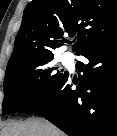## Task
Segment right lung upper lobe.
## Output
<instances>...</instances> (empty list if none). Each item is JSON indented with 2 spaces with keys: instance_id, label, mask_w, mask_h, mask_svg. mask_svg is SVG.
<instances>
[{
  "instance_id": "obj_1",
  "label": "right lung upper lobe",
  "mask_w": 117,
  "mask_h": 136,
  "mask_svg": "<svg viewBox=\"0 0 117 136\" xmlns=\"http://www.w3.org/2000/svg\"><path fill=\"white\" fill-rule=\"evenodd\" d=\"M117 31V0H32L25 8L8 64L31 56H53L76 35L73 51Z\"/></svg>"
}]
</instances>
